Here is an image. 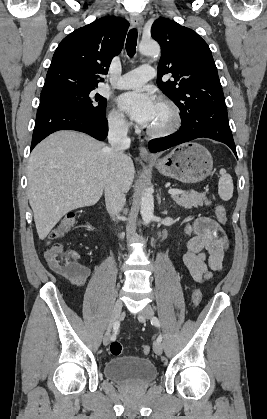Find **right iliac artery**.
I'll return each instance as SVG.
<instances>
[{
    "label": "right iliac artery",
    "instance_id": "82829eb1",
    "mask_svg": "<svg viewBox=\"0 0 267 419\" xmlns=\"http://www.w3.org/2000/svg\"><path fill=\"white\" fill-rule=\"evenodd\" d=\"M120 323L118 321H116L113 325V334L111 335L110 339L111 340H115L116 339V335L119 329Z\"/></svg>",
    "mask_w": 267,
    "mask_h": 419
}]
</instances>
